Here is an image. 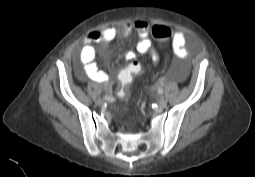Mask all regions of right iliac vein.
Wrapping results in <instances>:
<instances>
[{"label": "right iliac vein", "mask_w": 255, "mask_h": 177, "mask_svg": "<svg viewBox=\"0 0 255 177\" xmlns=\"http://www.w3.org/2000/svg\"><path fill=\"white\" fill-rule=\"evenodd\" d=\"M104 103V101H103V99L102 98H98L97 100H96V104L97 105H102Z\"/></svg>", "instance_id": "63e3f726"}]
</instances>
